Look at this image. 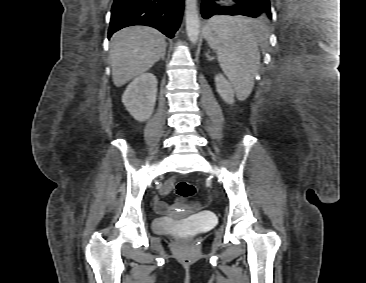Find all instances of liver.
Here are the masks:
<instances>
[{"label": "liver", "instance_id": "6515ba94", "mask_svg": "<svg viewBox=\"0 0 366 283\" xmlns=\"http://www.w3.org/2000/svg\"><path fill=\"white\" fill-rule=\"evenodd\" d=\"M165 37L155 28L139 25L112 36L110 61L113 83L121 87L148 71L166 50Z\"/></svg>", "mask_w": 366, "mask_h": 283}]
</instances>
